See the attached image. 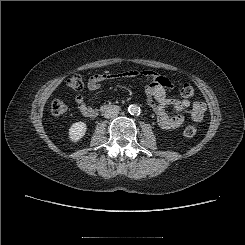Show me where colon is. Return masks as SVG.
Returning <instances> with one entry per match:
<instances>
[{"label":"colon","instance_id":"obj_1","mask_svg":"<svg viewBox=\"0 0 245 245\" xmlns=\"http://www.w3.org/2000/svg\"><path fill=\"white\" fill-rule=\"evenodd\" d=\"M67 85L74 91H80L84 87L83 78L78 75H72L67 80ZM182 96L189 98L194 94V88L189 84H184L180 90ZM68 110L67 104L61 99H54L51 102V112L55 116L64 115ZM197 133V127L190 125L183 130V135L187 138H192Z\"/></svg>","mask_w":245,"mask_h":245}]
</instances>
